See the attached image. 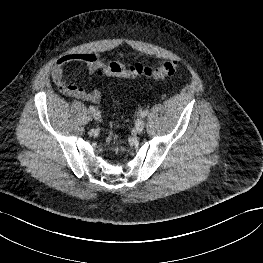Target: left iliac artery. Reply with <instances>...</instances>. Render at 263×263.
Wrapping results in <instances>:
<instances>
[{"label":"left iliac artery","instance_id":"left-iliac-artery-1","mask_svg":"<svg viewBox=\"0 0 263 263\" xmlns=\"http://www.w3.org/2000/svg\"><path fill=\"white\" fill-rule=\"evenodd\" d=\"M147 114H148V111H142V112L140 113V115H141L142 117H145Z\"/></svg>","mask_w":263,"mask_h":263}]
</instances>
